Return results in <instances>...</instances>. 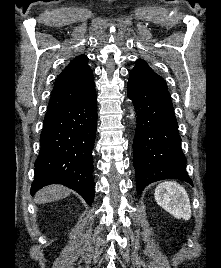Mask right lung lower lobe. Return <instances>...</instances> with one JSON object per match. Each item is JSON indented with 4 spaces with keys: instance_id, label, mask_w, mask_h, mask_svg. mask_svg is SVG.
Here are the masks:
<instances>
[{
    "instance_id": "obj_1",
    "label": "right lung lower lobe",
    "mask_w": 221,
    "mask_h": 268,
    "mask_svg": "<svg viewBox=\"0 0 221 268\" xmlns=\"http://www.w3.org/2000/svg\"><path fill=\"white\" fill-rule=\"evenodd\" d=\"M96 128V91L74 103L48 107L35 161L32 195L46 185L63 184L91 205L95 193L92 149Z\"/></svg>"
}]
</instances>
